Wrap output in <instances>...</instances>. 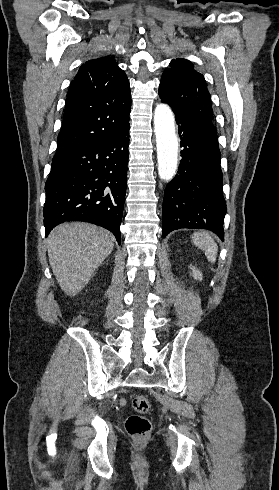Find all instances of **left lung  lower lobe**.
<instances>
[{
  "instance_id": "left-lung-lower-lobe-1",
  "label": "left lung lower lobe",
  "mask_w": 279,
  "mask_h": 490,
  "mask_svg": "<svg viewBox=\"0 0 279 490\" xmlns=\"http://www.w3.org/2000/svg\"><path fill=\"white\" fill-rule=\"evenodd\" d=\"M174 113L183 150L178 173L164 192L163 237L180 228H201L223 241L227 208L216 128L213 122Z\"/></svg>"
}]
</instances>
